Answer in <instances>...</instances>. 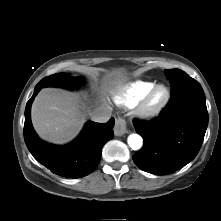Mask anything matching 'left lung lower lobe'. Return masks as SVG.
<instances>
[{
	"label": "left lung lower lobe",
	"instance_id": "0a47b994",
	"mask_svg": "<svg viewBox=\"0 0 221 221\" xmlns=\"http://www.w3.org/2000/svg\"><path fill=\"white\" fill-rule=\"evenodd\" d=\"M144 139L133 155L142 170L166 175L184 167L198 154L208 125L205 95L200 84L181 89L160 115L150 121L134 120Z\"/></svg>",
	"mask_w": 221,
	"mask_h": 221
}]
</instances>
